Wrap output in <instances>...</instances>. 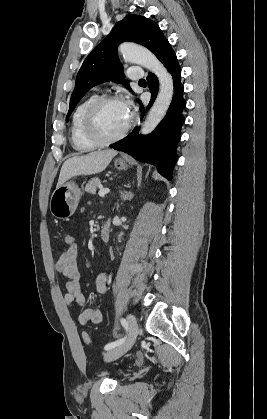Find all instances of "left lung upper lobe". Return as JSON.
<instances>
[{"mask_svg":"<svg viewBox=\"0 0 267 419\" xmlns=\"http://www.w3.org/2000/svg\"><path fill=\"white\" fill-rule=\"evenodd\" d=\"M124 41L145 46L157 58L168 43L159 26L144 16L130 14L116 23L110 34L84 60L77 74L66 119L81 98L97 84L112 80L130 89L128 82L123 78V67L117 55V46Z\"/></svg>","mask_w":267,"mask_h":419,"instance_id":"left-lung-upper-lobe-1","label":"left lung upper lobe"}]
</instances>
